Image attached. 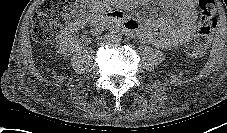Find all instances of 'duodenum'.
Here are the masks:
<instances>
[{"label":"duodenum","instance_id":"duodenum-1","mask_svg":"<svg viewBox=\"0 0 227 133\" xmlns=\"http://www.w3.org/2000/svg\"><path fill=\"white\" fill-rule=\"evenodd\" d=\"M102 25L132 32L131 26L126 21H123L122 16L115 11L106 13L102 20Z\"/></svg>","mask_w":227,"mask_h":133}]
</instances>
